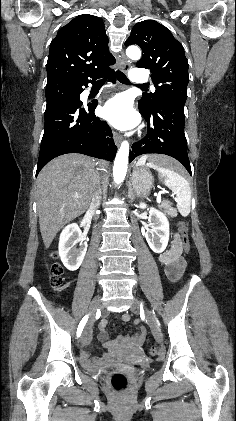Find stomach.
Here are the masks:
<instances>
[{
    "instance_id": "0dacf381",
    "label": "stomach",
    "mask_w": 236,
    "mask_h": 421,
    "mask_svg": "<svg viewBox=\"0 0 236 421\" xmlns=\"http://www.w3.org/2000/svg\"><path fill=\"white\" fill-rule=\"evenodd\" d=\"M160 178H164V176L160 174ZM153 182L154 178L147 166H134L131 174V184L136 196H148Z\"/></svg>"
}]
</instances>
